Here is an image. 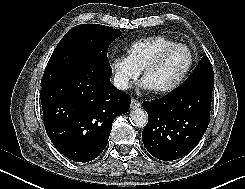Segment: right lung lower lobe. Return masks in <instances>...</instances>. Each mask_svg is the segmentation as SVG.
Instances as JSON below:
<instances>
[{
  "label": "right lung lower lobe",
  "instance_id": "obj_1",
  "mask_svg": "<svg viewBox=\"0 0 245 189\" xmlns=\"http://www.w3.org/2000/svg\"><path fill=\"white\" fill-rule=\"evenodd\" d=\"M109 63L90 62L41 90L46 132L56 149L88 162L106 147L114 119L128 111L130 96L110 82Z\"/></svg>",
  "mask_w": 245,
  "mask_h": 189
}]
</instances>
